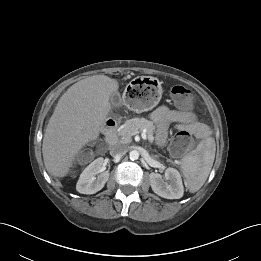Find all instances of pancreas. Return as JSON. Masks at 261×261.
I'll return each mask as SVG.
<instances>
[{
  "label": "pancreas",
  "mask_w": 261,
  "mask_h": 261,
  "mask_svg": "<svg viewBox=\"0 0 261 261\" xmlns=\"http://www.w3.org/2000/svg\"><path fill=\"white\" fill-rule=\"evenodd\" d=\"M146 131L148 137H153L155 126L152 121L145 118H133L127 120L117 133L119 143L128 144L132 141V136L136 133ZM154 138V137H153ZM154 140V139H153ZM153 140H150L152 142Z\"/></svg>",
  "instance_id": "obj_1"
}]
</instances>
